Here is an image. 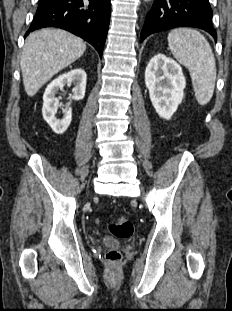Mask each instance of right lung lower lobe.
<instances>
[{
  "instance_id": "98d812e1",
  "label": "right lung lower lobe",
  "mask_w": 232,
  "mask_h": 311,
  "mask_svg": "<svg viewBox=\"0 0 232 311\" xmlns=\"http://www.w3.org/2000/svg\"><path fill=\"white\" fill-rule=\"evenodd\" d=\"M110 13V0H39L25 37L44 27L62 28L89 42L102 57Z\"/></svg>"
}]
</instances>
